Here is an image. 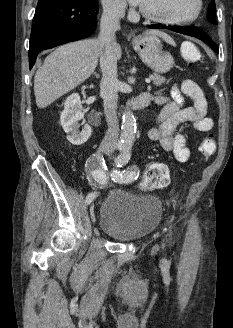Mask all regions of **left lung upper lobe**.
I'll use <instances>...</instances> for the list:
<instances>
[{
  "label": "left lung upper lobe",
  "mask_w": 233,
  "mask_h": 328,
  "mask_svg": "<svg viewBox=\"0 0 233 328\" xmlns=\"http://www.w3.org/2000/svg\"><path fill=\"white\" fill-rule=\"evenodd\" d=\"M207 18H208L209 22H211L213 24H217V22L215 20V2H214V0H212L208 6Z\"/></svg>",
  "instance_id": "5c2ea615"
}]
</instances>
